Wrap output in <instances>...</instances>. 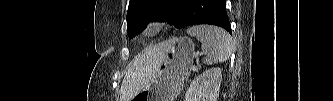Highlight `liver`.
Instances as JSON below:
<instances>
[{"instance_id": "1", "label": "liver", "mask_w": 333, "mask_h": 101, "mask_svg": "<svg viewBox=\"0 0 333 101\" xmlns=\"http://www.w3.org/2000/svg\"><path fill=\"white\" fill-rule=\"evenodd\" d=\"M167 49V42L150 47L137 56L126 73L122 82L120 101H131L156 74Z\"/></svg>"}]
</instances>
